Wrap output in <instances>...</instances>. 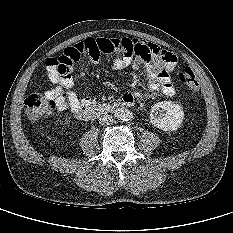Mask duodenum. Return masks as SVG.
<instances>
[{
  "label": "duodenum",
  "mask_w": 233,
  "mask_h": 233,
  "mask_svg": "<svg viewBox=\"0 0 233 233\" xmlns=\"http://www.w3.org/2000/svg\"><path fill=\"white\" fill-rule=\"evenodd\" d=\"M133 102L134 100L132 99L121 98L106 103L91 104L82 111V114L86 119H92L100 115L107 114L120 107L131 106Z\"/></svg>",
  "instance_id": "obj_1"
}]
</instances>
